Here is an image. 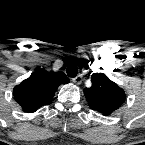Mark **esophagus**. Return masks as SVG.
<instances>
[{
	"label": "esophagus",
	"mask_w": 145,
	"mask_h": 145,
	"mask_svg": "<svg viewBox=\"0 0 145 145\" xmlns=\"http://www.w3.org/2000/svg\"><path fill=\"white\" fill-rule=\"evenodd\" d=\"M72 81H73L75 84H77V85L81 84V82H82V74H78L76 77H74V78L72 79Z\"/></svg>",
	"instance_id": "esophagus-1"
}]
</instances>
